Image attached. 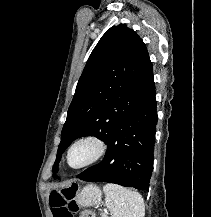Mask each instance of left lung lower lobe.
I'll return each mask as SVG.
<instances>
[{
  "mask_svg": "<svg viewBox=\"0 0 211 217\" xmlns=\"http://www.w3.org/2000/svg\"><path fill=\"white\" fill-rule=\"evenodd\" d=\"M155 89L113 129L106 155L77 178L89 182H109L148 190L153 170V148L158 120Z\"/></svg>",
  "mask_w": 211,
  "mask_h": 217,
  "instance_id": "0a47b994",
  "label": "left lung lower lobe"
}]
</instances>
